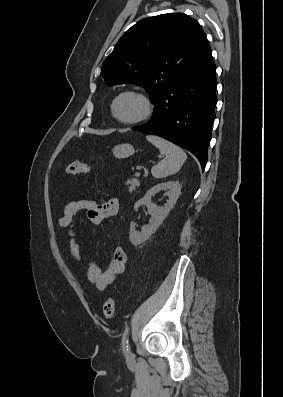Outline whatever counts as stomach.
I'll return each instance as SVG.
<instances>
[{
  "mask_svg": "<svg viewBox=\"0 0 283 397\" xmlns=\"http://www.w3.org/2000/svg\"><path fill=\"white\" fill-rule=\"evenodd\" d=\"M113 155L116 158H127L134 154V147L131 144H120L113 148Z\"/></svg>",
  "mask_w": 283,
  "mask_h": 397,
  "instance_id": "obj_1",
  "label": "stomach"
}]
</instances>
